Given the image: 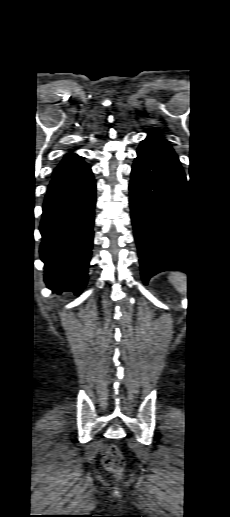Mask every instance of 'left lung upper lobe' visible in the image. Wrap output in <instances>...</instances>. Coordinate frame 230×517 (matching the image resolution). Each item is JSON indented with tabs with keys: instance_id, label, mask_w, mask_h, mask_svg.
I'll list each match as a JSON object with an SVG mask.
<instances>
[{
	"instance_id": "obj_1",
	"label": "left lung upper lobe",
	"mask_w": 230,
	"mask_h": 517,
	"mask_svg": "<svg viewBox=\"0 0 230 517\" xmlns=\"http://www.w3.org/2000/svg\"><path fill=\"white\" fill-rule=\"evenodd\" d=\"M148 138H160V137H158L156 134L150 133L148 135ZM160 139H162V138H160Z\"/></svg>"
}]
</instances>
